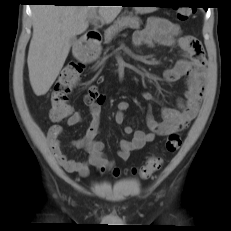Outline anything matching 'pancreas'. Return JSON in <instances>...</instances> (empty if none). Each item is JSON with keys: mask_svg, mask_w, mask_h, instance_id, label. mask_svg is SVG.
Segmentation results:
<instances>
[{"mask_svg": "<svg viewBox=\"0 0 231 231\" xmlns=\"http://www.w3.org/2000/svg\"><path fill=\"white\" fill-rule=\"evenodd\" d=\"M138 29L140 18L133 15H122L104 33L105 43H109L112 38L125 28Z\"/></svg>", "mask_w": 231, "mask_h": 231, "instance_id": "obj_1", "label": "pancreas"}]
</instances>
